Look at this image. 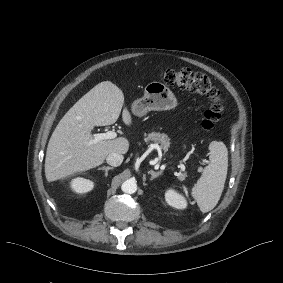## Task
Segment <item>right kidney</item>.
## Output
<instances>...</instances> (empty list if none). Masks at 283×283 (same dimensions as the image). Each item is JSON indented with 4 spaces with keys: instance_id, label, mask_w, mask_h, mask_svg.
<instances>
[{
    "instance_id": "obj_1",
    "label": "right kidney",
    "mask_w": 283,
    "mask_h": 283,
    "mask_svg": "<svg viewBox=\"0 0 283 283\" xmlns=\"http://www.w3.org/2000/svg\"><path fill=\"white\" fill-rule=\"evenodd\" d=\"M70 186L74 192L82 194L91 191L94 183L91 180L78 177L71 181Z\"/></svg>"
}]
</instances>
